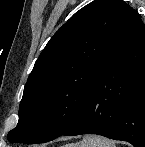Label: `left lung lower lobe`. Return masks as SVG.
Here are the masks:
<instances>
[{"label":"left lung lower lobe","instance_id":"0a47b994","mask_svg":"<svg viewBox=\"0 0 145 147\" xmlns=\"http://www.w3.org/2000/svg\"><path fill=\"white\" fill-rule=\"evenodd\" d=\"M92 133L145 147V25L131 7L79 117L61 136Z\"/></svg>","mask_w":145,"mask_h":147}]
</instances>
